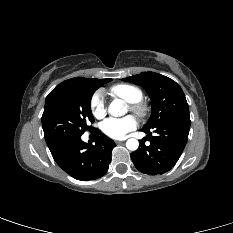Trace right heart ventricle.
Segmentation results:
<instances>
[{
    "mask_svg": "<svg viewBox=\"0 0 233 233\" xmlns=\"http://www.w3.org/2000/svg\"><path fill=\"white\" fill-rule=\"evenodd\" d=\"M109 92L113 97L129 104L140 101L143 97V92L139 87L127 83L113 85L110 87Z\"/></svg>",
    "mask_w": 233,
    "mask_h": 233,
    "instance_id": "right-heart-ventricle-1",
    "label": "right heart ventricle"
}]
</instances>
